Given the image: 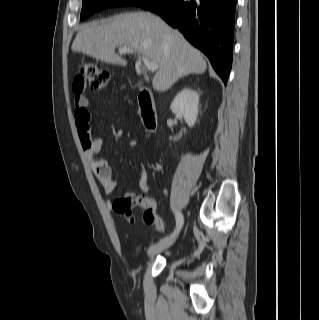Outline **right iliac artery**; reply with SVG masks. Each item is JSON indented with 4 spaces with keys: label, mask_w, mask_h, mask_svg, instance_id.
Listing matches in <instances>:
<instances>
[{
    "label": "right iliac artery",
    "mask_w": 319,
    "mask_h": 320,
    "mask_svg": "<svg viewBox=\"0 0 319 320\" xmlns=\"http://www.w3.org/2000/svg\"><path fill=\"white\" fill-rule=\"evenodd\" d=\"M175 218H176V230L174 232V234H172L171 236L175 235L176 232H178L184 223V219H183V215L181 214V212L177 211L175 214ZM166 239H168V237L161 239L160 241H165Z\"/></svg>",
    "instance_id": "obj_1"
}]
</instances>
